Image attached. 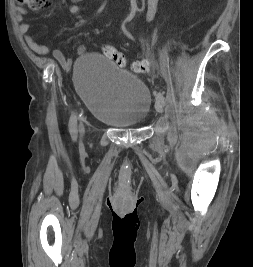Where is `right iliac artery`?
I'll list each match as a JSON object with an SVG mask.
<instances>
[{"label": "right iliac artery", "instance_id": "1", "mask_svg": "<svg viewBox=\"0 0 253 267\" xmlns=\"http://www.w3.org/2000/svg\"><path fill=\"white\" fill-rule=\"evenodd\" d=\"M70 135L73 141L77 139V117L76 115H73L70 120Z\"/></svg>", "mask_w": 253, "mask_h": 267}]
</instances>
